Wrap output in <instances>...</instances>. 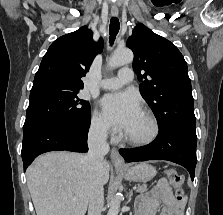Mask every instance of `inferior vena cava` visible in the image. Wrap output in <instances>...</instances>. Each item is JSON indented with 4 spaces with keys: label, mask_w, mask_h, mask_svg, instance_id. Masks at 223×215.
<instances>
[{
    "label": "inferior vena cava",
    "mask_w": 223,
    "mask_h": 215,
    "mask_svg": "<svg viewBox=\"0 0 223 215\" xmlns=\"http://www.w3.org/2000/svg\"><path fill=\"white\" fill-rule=\"evenodd\" d=\"M89 151L86 155L89 163L90 193L88 215H101L104 205L103 163L104 155L109 151L107 129L90 127L88 133Z\"/></svg>",
    "instance_id": "602c4592"
}]
</instances>
